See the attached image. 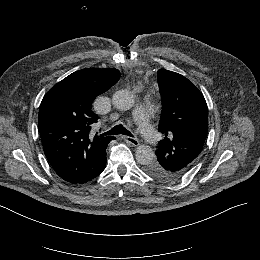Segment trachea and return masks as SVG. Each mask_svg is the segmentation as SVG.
<instances>
[{
	"instance_id": "1",
	"label": "trachea",
	"mask_w": 260,
	"mask_h": 260,
	"mask_svg": "<svg viewBox=\"0 0 260 260\" xmlns=\"http://www.w3.org/2000/svg\"><path fill=\"white\" fill-rule=\"evenodd\" d=\"M118 134H123L126 136H133L130 131H128L122 124L114 126L111 130L104 132L102 135L103 136H113V135H118Z\"/></svg>"
}]
</instances>
